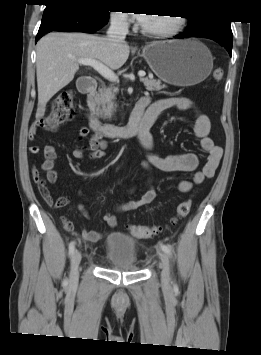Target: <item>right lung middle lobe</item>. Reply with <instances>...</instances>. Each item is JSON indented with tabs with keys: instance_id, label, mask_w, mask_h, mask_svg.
<instances>
[{
	"instance_id": "dd1d6c3e",
	"label": "right lung middle lobe",
	"mask_w": 261,
	"mask_h": 355,
	"mask_svg": "<svg viewBox=\"0 0 261 355\" xmlns=\"http://www.w3.org/2000/svg\"><path fill=\"white\" fill-rule=\"evenodd\" d=\"M79 3L89 7L91 10H93L94 12H96L98 14H105V15L108 14V10L103 8L100 0H85V1H81Z\"/></svg>"
}]
</instances>
